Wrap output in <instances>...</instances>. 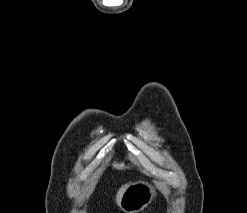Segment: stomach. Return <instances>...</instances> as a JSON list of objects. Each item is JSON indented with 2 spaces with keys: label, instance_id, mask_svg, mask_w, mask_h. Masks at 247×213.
<instances>
[{
  "label": "stomach",
  "instance_id": "stomach-1",
  "mask_svg": "<svg viewBox=\"0 0 247 213\" xmlns=\"http://www.w3.org/2000/svg\"><path fill=\"white\" fill-rule=\"evenodd\" d=\"M156 188L147 181H138L129 185L119 201V207L125 213H139L156 197Z\"/></svg>",
  "mask_w": 247,
  "mask_h": 213
}]
</instances>
